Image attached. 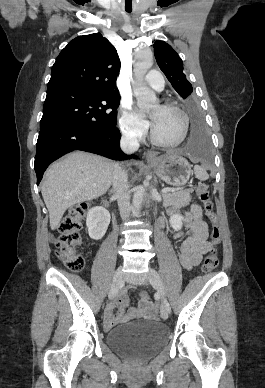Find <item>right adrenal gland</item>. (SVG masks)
<instances>
[{"instance_id": "2a0ac1e0", "label": "right adrenal gland", "mask_w": 265, "mask_h": 388, "mask_svg": "<svg viewBox=\"0 0 265 388\" xmlns=\"http://www.w3.org/2000/svg\"><path fill=\"white\" fill-rule=\"evenodd\" d=\"M110 194H113V190H110Z\"/></svg>"}]
</instances>
